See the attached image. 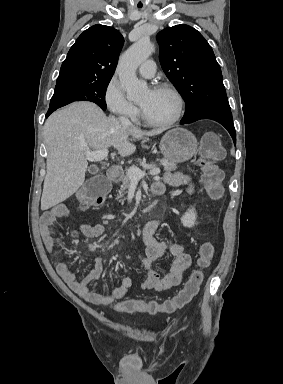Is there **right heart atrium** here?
<instances>
[{"label": "right heart atrium", "mask_w": 283, "mask_h": 384, "mask_svg": "<svg viewBox=\"0 0 283 384\" xmlns=\"http://www.w3.org/2000/svg\"><path fill=\"white\" fill-rule=\"evenodd\" d=\"M104 100L109 111L124 121H132L138 116L137 106L128 100L124 90L116 77H112L106 84Z\"/></svg>", "instance_id": "1"}]
</instances>
